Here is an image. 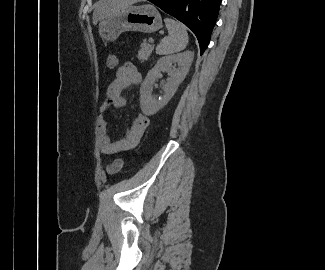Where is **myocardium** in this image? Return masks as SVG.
Segmentation results:
<instances>
[{
	"instance_id": "obj_1",
	"label": "myocardium",
	"mask_w": 325,
	"mask_h": 270,
	"mask_svg": "<svg viewBox=\"0 0 325 270\" xmlns=\"http://www.w3.org/2000/svg\"><path fill=\"white\" fill-rule=\"evenodd\" d=\"M138 1H144V0H127V2H138Z\"/></svg>"
}]
</instances>
